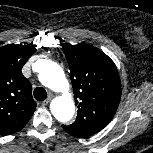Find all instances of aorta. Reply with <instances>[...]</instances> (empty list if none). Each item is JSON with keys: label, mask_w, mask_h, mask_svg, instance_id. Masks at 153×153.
Returning <instances> with one entry per match:
<instances>
[{"label": "aorta", "mask_w": 153, "mask_h": 153, "mask_svg": "<svg viewBox=\"0 0 153 153\" xmlns=\"http://www.w3.org/2000/svg\"><path fill=\"white\" fill-rule=\"evenodd\" d=\"M40 82L50 90L61 93L50 105L53 116L60 122H68L75 112V104L69 93L70 84L63 69L57 63L44 60L39 69Z\"/></svg>", "instance_id": "1"}]
</instances>
